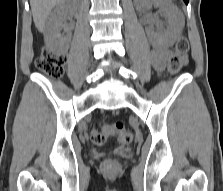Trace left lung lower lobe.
<instances>
[{"instance_id":"left-lung-lower-lobe-1","label":"left lung lower lobe","mask_w":223,"mask_h":191,"mask_svg":"<svg viewBox=\"0 0 223 191\" xmlns=\"http://www.w3.org/2000/svg\"><path fill=\"white\" fill-rule=\"evenodd\" d=\"M184 2H185L186 4H188L189 0H184Z\"/></svg>"}]
</instances>
